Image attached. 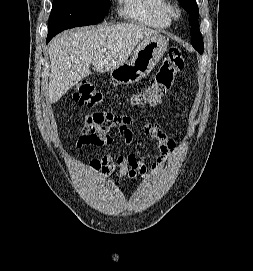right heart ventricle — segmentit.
Segmentation results:
<instances>
[{"label":"right heart ventricle","instance_id":"right-heart-ventricle-1","mask_svg":"<svg viewBox=\"0 0 253 271\" xmlns=\"http://www.w3.org/2000/svg\"><path fill=\"white\" fill-rule=\"evenodd\" d=\"M120 11L143 25L165 29L171 25L168 0H119Z\"/></svg>","mask_w":253,"mask_h":271}]
</instances>
